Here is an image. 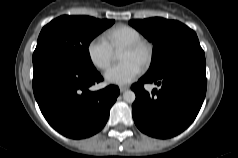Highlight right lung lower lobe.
Here are the masks:
<instances>
[{
	"mask_svg": "<svg viewBox=\"0 0 238 158\" xmlns=\"http://www.w3.org/2000/svg\"><path fill=\"white\" fill-rule=\"evenodd\" d=\"M33 92L48 123L62 135L81 139L99 132L106 124L119 88L110 85L91 92L103 80L95 70H85L53 54L33 60Z\"/></svg>",
	"mask_w": 238,
	"mask_h": 158,
	"instance_id": "98d812e1",
	"label": "right lung lower lobe"
}]
</instances>
